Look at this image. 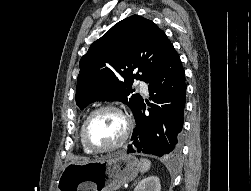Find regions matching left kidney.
Instances as JSON below:
<instances>
[{
    "instance_id": "left-kidney-1",
    "label": "left kidney",
    "mask_w": 251,
    "mask_h": 191,
    "mask_svg": "<svg viewBox=\"0 0 251 191\" xmlns=\"http://www.w3.org/2000/svg\"><path fill=\"white\" fill-rule=\"evenodd\" d=\"M134 191H161L160 179L157 175H149L141 179Z\"/></svg>"
}]
</instances>
